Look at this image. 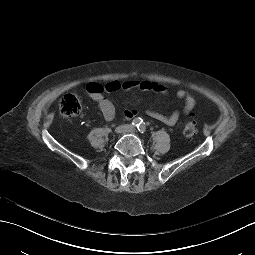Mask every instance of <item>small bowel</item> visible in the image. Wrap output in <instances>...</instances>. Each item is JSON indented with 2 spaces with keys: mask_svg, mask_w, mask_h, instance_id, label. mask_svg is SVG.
I'll list each match as a JSON object with an SVG mask.
<instances>
[{
  "mask_svg": "<svg viewBox=\"0 0 255 255\" xmlns=\"http://www.w3.org/2000/svg\"><path fill=\"white\" fill-rule=\"evenodd\" d=\"M133 88H138L145 92H155V93H162L167 94L169 91L157 82H152L148 80H134V81H127L124 83H120L118 81L109 82L106 85H101L96 82H90L86 86V93L87 95L92 98L98 105L99 110L101 111L102 115L107 121H113L115 119V107L113 103L105 97L104 93L106 92H114L117 90H130ZM175 96L182 100L185 104L184 114H189L195 105V99L192 95L184 90L178 89L175 92ZM139 110L137 109H127L123 112L124 120H129L135 117L138 114ZM147 115L153 119H156L162 123L167 125L173 126L177 124L180 119V113L178 111H174L171 115L165 116L156 111L148 109L146 111Z\"/></svg>",
  "mask_w": 255,
  "mask_h": 255,
  "instance_id": "small-bowel-1",
  "label": "small bowel"
}]
</instances>
